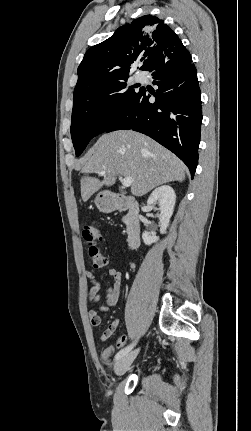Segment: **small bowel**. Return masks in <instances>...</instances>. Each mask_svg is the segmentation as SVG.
Instances as JSON below:
<instances>
[{"mask_svg": "<svg viewBox=\"0 0 251 431\" xmlns=\"http://www.w3.org/2000/svg\"><path fill=\"white\" fill-rule=\"evenodd\" d=\"M107 275L113 279L112 284L107 289L106 295L104 297V301L102 300V295L100 293L101 290V283L97 279L95 273L91 270L85 271L86 278L92 283V287L89 291V301L91 303H100L98 310L91 309L88 312L90 324L93 327H98L103 322V314H107L110 311V307L117 304L119 295H120V289H121V283H122V272L117 270L116 268L110 267L107 270ZM120 323L119 318L113 319L106 327V329L103 331V333L100 336V341L105 342L107 341L116 331ZM114 345V344H113ZM108 348H106L103 351H107ZM102 357V354H101Z\"/></svg>", "mask_w": 251, "mask_h": 431, "instance_id": "obj_1", "label": "small bowel"}]
</instances>
